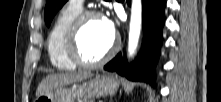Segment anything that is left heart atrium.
Masks as SVG:
<instances>
[{
  "label": "left heart atrium",
  "instance_id": "39dd6f15",
  "mask_svg": "<svg viewBox=\"0 0 221 102\" xmlns=\"http://www.w3.org/2000/svg\"><path fill=\"white\" fill-rule=\"evenodd\" d=\"M102 21H103V26H104V29H105L106 33L110 37L114 38V36H115V26H114L113 21L110 18H107V17L103 18Z\"/></svg>",
  "mask_w": 221,
  "mask_h": 102
}]
</instances>
